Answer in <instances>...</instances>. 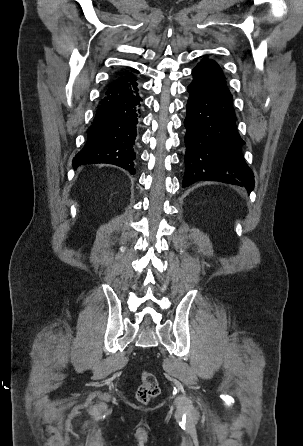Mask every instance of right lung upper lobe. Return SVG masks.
<instances>
[{
  "instance_id": "cb5924a9",
  "label": "right lung upper lobe",
  "mask_w": 303,
  "mask_h": 446,
  "mask_svg": "<svg viewBox=\"0 0 303 446\" xmlns=\"http://www.w3.org/2000/svg\"><path fill=\"white\" fill-rule=\"evenodd\" d=\"M133 75L132 74H130V73H128V74H121V75H119L117 78H116V80H122V79H125V78H129V77H132Z\"/></svg>"
}]
</instances>
